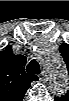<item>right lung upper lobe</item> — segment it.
<instances>
[{
    "label": "right lung upper lobe",
    "instance_id": "1",
    "mask_svg": "<svg viewBox=\"0 0 69 101\" xmlns=\"http://www.w3.org/2000/svg\"><path fill=\"white\" fill-rule=\"evenodd\" d=\"M12 57L6 66H1V94L11 99H22L30 83L38 80V77L25 73V56L12 54Z\"/></svg>",
    "mask_w": 69,
    "mask_h": 101
}]
</instances>
